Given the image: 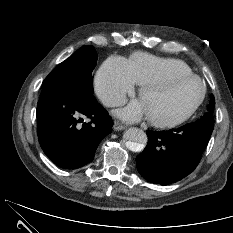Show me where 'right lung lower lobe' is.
Masks as SVG:
<instances>
[{
	"label": "right lung lower lobe",
	"instance_id": "obj_1",
	"mask_svg": "<svg viewBox=\"0 0 233 233\" xmlns=\"http://www.w3.org/2000/svg\"><path fill=\"white\" fill-rule=\"evenodd\" d=\"M83 118L91 121L83 122ZM37 133L45 154L59 167L76 169L91 162L113 121L93 96L46 88L37 104Z\"/></svg>",
	"mask_w": 233,
	"mask_h": 233
}]
</instances>
